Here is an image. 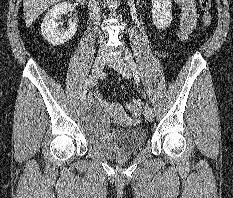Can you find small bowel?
Masks as SVG:
<instances>
[{"label": "small bowel", "instance_id": "c3829d8e", "mask_svg": "<svg viewBox=\"0 0 233 198\" xmlns=\"http://www.w3.org/2000/svg\"><path fill=\"white\" fill-rule=\"evenodd\" d=\"M179 7V36L186 38L195 28L197 23V4L196 0H174ZM100 99L99 96H97ZM114 110L119 115H122V109L119 106H114Z\"/></svg>", "mask_w": 233, "mask_h": 198}]
</instances>
